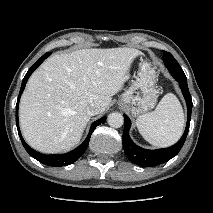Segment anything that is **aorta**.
I'll return each instance as SVG.
<instances>
[{"label": "aorta", "mask_w": 213, "mask_h": 213, "mask_svg": "<svg viewBox=\"0 0 213 213\" xmlns=\"http://www.w3.org/2000/svg\"><path fill=\"white\" fill-rule=\"evenodd\" d=\"M108 124L113 128H120L124 124V118L122 114L114 112L108 116Z\"/></svg>", "instance_id": "1"}]
</instances>
